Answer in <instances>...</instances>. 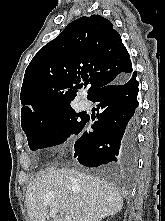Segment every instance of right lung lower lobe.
Wrapping results in <instances>:
<instances>
[{
  "instance_id": "1",
  "label": "right lung lower lobe",
  "mask_w": 165,
  "mask_h": 221,
  "mask_svg": "<svg viewBox=\"0 0 165 221\" xmlns=\"http://www.w3.org/2000/svg\"><path fill=\"white\" fill-rule=\"evenodd\" d=\"M137 73L127 79L97 90L89 99L98 102L97 121L91 126L93 132L85 131L89 118L77 134L75 142L78 161L88 167L115 164L132 169L137 161ZM76 134V135H77Z\"/></svg>"
}]
</instances>
